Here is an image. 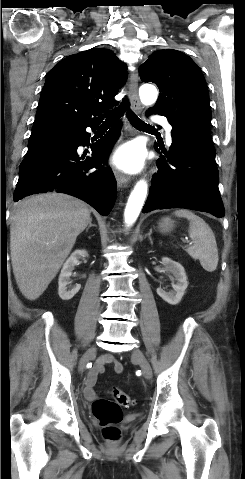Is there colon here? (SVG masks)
Returning <instances> with one entry per match:
<instances>
[{
  "label": "colon",
  "mask_w": 245,
  "mask_h": 479,
  "mask_svg": "<svg viewBox=\"0 0 245 479\" xmlns=\"http://www.w3.org/2000/svg\"><path fill=\"white\" fill-rule=\"evenodd\" d=\"M131 404L130 396L120 389H114L110 399L98 398L93 402V415L100 423L102 434L107 441L111 443L118 441L120 437L118 425L123 419L122 408Z\"/></svg>",
  "instance_id": "colon-1"
}]
</instances>
